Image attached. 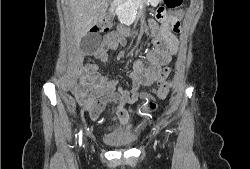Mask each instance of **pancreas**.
<instances>
[{"instance_id": "1", "label": "pancreas", "mask_w": 250, "mask_h": 169, "mask_svg": "<svg viewBox=\"0 0 250 169\" xmlns=\"http://www.w3.org/2000/svg\"><path fill=\"white\" fill-rule=\"evenodd\" d=\"M127 4V10L129 12H135L137 10V0H124Z\"/></svg>"}]
</instances>
